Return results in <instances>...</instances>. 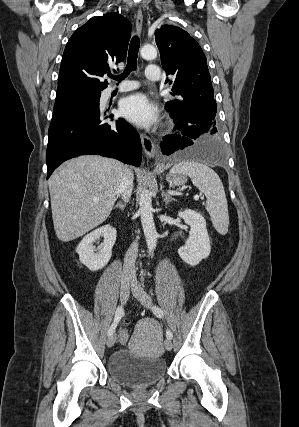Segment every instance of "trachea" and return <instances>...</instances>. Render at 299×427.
Segmentation results:
<instances>
[{
    "mask_svg": "<svg viewBox=\"0 0 299 427\" xmlns=\"http://www.w3.org/2000/svg\"><path fill=\"white\" fill-rule=\"evenodd\" d=\"M140 47V40L137 36H134L130 42L129 51H128V60L125 70L122 74L115 76L111 75L110 77L121 82L124 80L132 71L136 70L137 56Z\"/></svg>",
    "mask_w": 299,
    "mask_h": 427,
    "instance_id": "trachea-1",
    "label": "trachea"
}]
</instances>
